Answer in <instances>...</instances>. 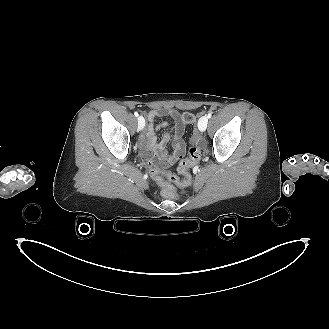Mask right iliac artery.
Listing matches in <instances>:
<instances>
[{
  "mask_svg": "<svg viewBox=\"0 0 329 329\" xmlns=\"http://www.w3.org/2000/svg\"><path fill=\"white\" fill-rule=\"evenodd\" d=\"M134 115H135L136 117H138V116H139V114H138V112H137V111H135V112H134Z\"/></svg>",
  "mask_w": 329,
  "mask_h": 329,
  "instance_id": "1",
  "label": "right iliac artery"
}]
</instances>
